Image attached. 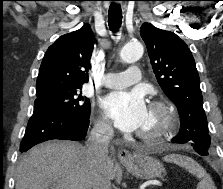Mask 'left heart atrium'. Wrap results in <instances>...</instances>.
I'll return each mask as SVG.
<instances>
[{"label":"left heart atrium","mask_w":223,"mask_h":189,"mask_svg":"<svg viewBox=\"0 0 223 189\" xmlns=\"http://www.w3.org/2000/svg\"><path fill=\"white\" fill-rule=\"evenodd\" d=\"M101 104L106 116L122 131L140 129L146 121L148 109L139 90L112 92Z\"/></svg>","instance_id":"1"}]
</instances>
